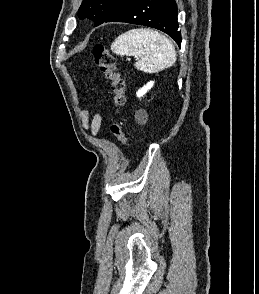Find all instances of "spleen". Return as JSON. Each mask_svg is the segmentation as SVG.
<instances>
[{
    "label": "spleen",
    "instance_id": "3e777b00",
    "mask_svg": "<svg viewBox=\"0 0 259 294\" xmlns=\"http://www.w3.org/2000/svg\"><path fill=\"white\" fill-rule=\"evenodd\" d=\"M111 50L118 56L138 57L134 66L146 73L162 71L176 61L173 43L151 29H131L119 35L112 43Z\"/></svg>",
    "mask_w": 259,
    "mask_h": 294
}]
</instances>
